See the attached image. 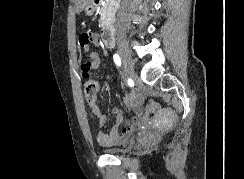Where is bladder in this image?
<instances>
[{"label": "bladder", "instance_id": "1", "mask_svg": "<svg viewBox=\"0 0 244 179\" xmlns=\"http://www.w3.org/2000/svg\"><path fill=\"white\" fill-rule=\"evenodd\" d=\"M103 151L107 155H114V154H117V153L121 152V149L117 148V147H115V148H103Z\"/></svg>", "mask_w": 244, "mask_h": 179}]
</instances>
